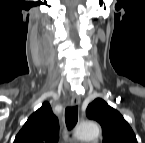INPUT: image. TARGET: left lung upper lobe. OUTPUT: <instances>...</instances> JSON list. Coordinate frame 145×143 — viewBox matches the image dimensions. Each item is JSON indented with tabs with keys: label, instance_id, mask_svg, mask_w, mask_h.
I'll list each match as a JSON object with an SVG mask.
<instances>
[{
	"label": "left lung upper lobe",
	"instance_id": "1",
	"mask_svg": "<svg viewBox=\"0 0 145 143\" xmlns=\"http://www.w3.org/2000/svg\"><path fill=\"white\" fill-rule=\"evenodd\" d=\"M87 117L100 123L103 143H137L136 136L123 116L98 98L87 108Z\"/></svg>",
	"mask_w": 145,
	"mask_h": 143
}]
</instances>
